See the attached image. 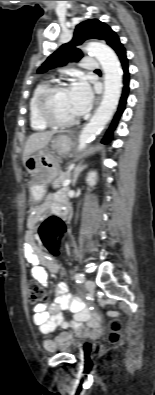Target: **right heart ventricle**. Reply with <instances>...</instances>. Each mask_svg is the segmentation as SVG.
I'll return each mask as SVG.
<instances>
[{
	"label": "right heart ventricle",
	"instance_id": "right-heart-ventricle-1",
	"mask_svg": "<svg viewBox=\"0 0 155 395\" xmlns=\"http://www.w3.org/2000/svg\"><path fill=\"white\" fill-rule=\"evenodd\" d=\"M49 86L48 82L39 83L33 90L29 100V122L33 130L43 131L46 130L49 125L45 124L38 116L36 110V102L40 93Z\"/></svg>",
	"mask_w": 155,
	"mask_h": 395
}]
</instances>
